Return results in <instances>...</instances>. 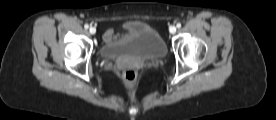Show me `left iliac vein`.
Masks as SVG:
<instances>
[{
	"mask_svg": "<svg viewBox=\"0 0 276 120\" xmlns=\"http://www.w3.org/2000/svg\"><path fill=\"white\" fill-rule=\"evenodd\" d=\"M171 34H174L176 32V27L175 26H171L169 29Z\"/></svg>",
	"mask_w": 276,
	"mask_h": 120,
	"instance_id": "left-iliac-vein-1",
	"label": "left iliac vein"
}]
</instances>
